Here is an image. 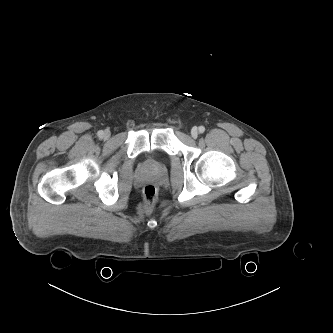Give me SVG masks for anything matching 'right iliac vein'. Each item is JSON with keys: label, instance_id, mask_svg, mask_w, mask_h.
Listing matches in <instances>:
<instances>
[{"label": "right iliac vein", "instance_id": "1", "mask_svg": "<svg viewBox=\"0 0 333 333\" xmlns=\"http://www.w3.org/2000/svg\"><path fill=\"white\" fill-rule=\"evenodd\" d=\"M103 137L105 139H108L110 137V132L109 131H105L104 134H103Z\"/></svg>", "mask_w": 333, "mask_h": 333}]
</instances>
